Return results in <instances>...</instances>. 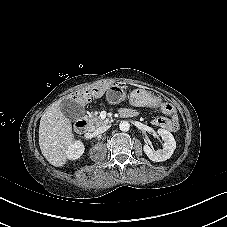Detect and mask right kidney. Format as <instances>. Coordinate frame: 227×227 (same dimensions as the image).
Masks as SVG:
<instances>
[{
  "mask_svg": "<svg viewBox=\"0 0 227 227\" xmlns=\"http://www.w3.org/2000/svg\"><path fill=\"white\" fill-rule=\"evenodd\" d=\"M84 145L80 140L74 141L66 150V157L70 160H76L84 153Z\"/></svg>",
  "mask_w": 227,
  "mask_h": 227,
  "instance_id": "ca27d5eb",
  "label": "right kidney"
}]
</instances>
